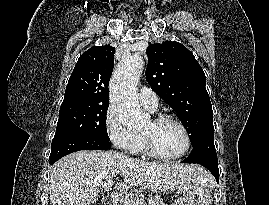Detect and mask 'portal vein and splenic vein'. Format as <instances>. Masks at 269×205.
Returning a JSON list of instances; mask_svg holds the SVG:
<instances>
[{
	"label": "portal vein and splenic vein",
	"mask_w": 269,
	"mask_h": 205,
	"mask_svg": "<svg viewBox=\"0 0 269 205\" xmlns=\"http://www.w3.org/2000/svg\"><path fill=\"white\" fill-rule=\"evenodd\" d=\"M113 184H114V181L109 180V181L105 182L102 187L105 190H107V189L111 188L113 186ZM111 199L116 203H120L123 205H131V203H129V201H128V198L121 197L118 194H112Z\"/></svg>",
	"instance_id": "18ae733b"
}]
</instances>
